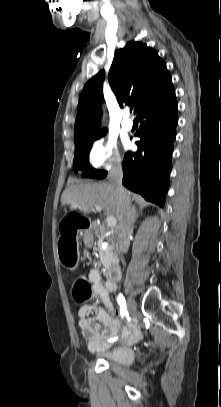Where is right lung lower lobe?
<instances>
[{
    "instance_id": "1",
    "label": "right lung lower lobe",
    "mask_w": 221,
    "mask_h": 407,
    "mask_svg": "<svg viewBox=\"0 0 221 407\" xmlns=\"http://www.w3.org/2000/svg\"><path fill=\"white\" fill-rule=\"evenodd\" d=\"M138 150L123 160V185L163 207L171 172L173 143L178 122L174 87L137 114Z\"/></svg>"
}]
</instances>
